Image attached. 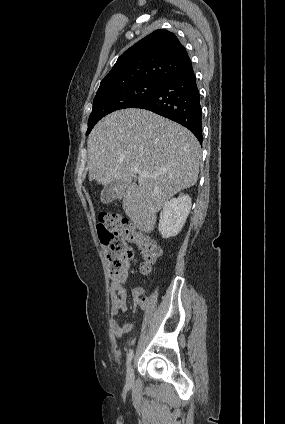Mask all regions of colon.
<instances>
[{"label": "colon", "instance_id": "5ec220e1", "mask_svg": "<svg viewBox=\"0 0 285 424\" xmlns=\"http://www.w3.org/2000/svg\"><path fill=\"white\" fill-rule=\"evenodd\" d=\"M96 231L104 247L109 274L114 279L120 276L126 264L133 259L128 243L138 246L143 256V262L140 264L143 273L150 272L160 261L161 249L156 242L145 232L118 215L100 216Z\"/></svg>", "mask_w": 285, "mask_h": 424}]
</instances>
